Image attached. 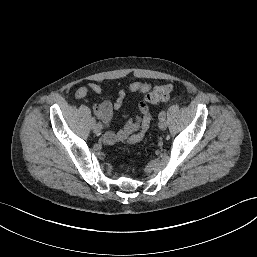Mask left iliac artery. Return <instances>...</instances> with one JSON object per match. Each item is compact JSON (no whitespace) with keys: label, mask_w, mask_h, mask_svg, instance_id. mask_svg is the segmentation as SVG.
I'll use <instances>...</instances> for the list:
<instances>
[{"label":"left iliac artery","mask_w":257,"mask_h":257,"mask_svg":"<svg viewBox=\"0 0 257 257\" xmlns=\"http://www.w3.org/2000/svg\"><path fill=\"white\" fill-rule=\"evenodd\" d=\"M165 116H166V112L164 110H162L160 113H159V119H165Z\"/></svg>","instance_id":"1"}]
</instances>
